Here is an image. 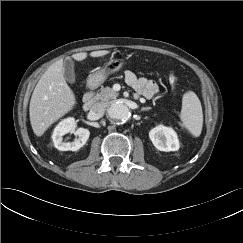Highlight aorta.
I'll return each instance as SVG.
<instances>
[{"instance_id": "762f6f07", "label": "aorta", "mask_w": 243, "mask_h": 243, "mask_svg": "<svg viewBox=\"0 0 243 243\" xmlns=\"http://www.w3.org/2000/svg\"><path fill=\"white\" fill-rule=\"evenodd\" d=\"M108 115L110 118L120 122H127L131 118L129 108L123 103H114L108 108Z\"/></svg>"}]
</instances>
